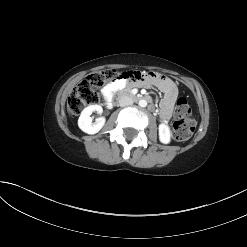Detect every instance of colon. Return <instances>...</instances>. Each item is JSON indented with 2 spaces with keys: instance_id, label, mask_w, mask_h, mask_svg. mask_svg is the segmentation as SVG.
I'll use <instances>...</instances> for the list:
<instances>
[{
  "instance_id": "colon-1",
  "label": "colon",
  "mask_w": 247,
  "mask_h": 247,
  "mask_svg": "<svg viewBox=\"0 0 247 247\" xmlns=\"http://www.w3.org/2000/svg\"><path fill=\"white\" fill-rule=\"evenodd\" d=\"M124 73L116 70H103L89 75L69 97L68 110L70 114L77 116L84 108L102 102L104 100L101 94L102 89L119 78H125ZM190 114L191 109L186 99L179 98L174 111L173 123V136L177 141L189 139L194 132L195 123L190 118Z\"/></svg>"
}]
</instances>
